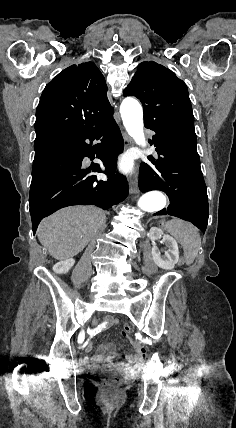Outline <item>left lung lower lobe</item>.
<instances>
[{"mask_svg": "<svg viewBox=\"0 0 236 428\" xmlns=\"http://www.w3.org/2000/svg\"><path fill=\"white\" fill-rule=\"evenodd\" d=\"M150 128L155 132L150 143L158 153L155 168L142 163L139 188L141 192H165L170 205L154 215H171L189 221L205 232L209 208L207 188L200 167L197 148L184 144L165 130Z\"/></svg>", "mask_w": 236, "mask_h": 428, "instance_id": "0a47b994", "label": "left lung lower lobe"}]
</instances>
